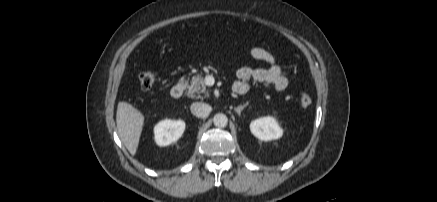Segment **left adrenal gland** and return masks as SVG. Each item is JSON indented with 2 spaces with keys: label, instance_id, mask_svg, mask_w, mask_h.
I'll use <instances>...</instances> for the list:
<instances>
[{
  "label": "left adrenal gland",
  "instance_id": "obj_1",
  "mask_svg": "<svg viewBox=\"0 0 437 202\" xmlns=\"http://www.w3.org/2000/svg\"><path fill=\"white\" fill-rule=\"evenodd\" d=\"M247 105H248V104L246 103V104H244V105H241V106L235 107V108H234V111H235V112L240 116L242 110H243Z\"/></svg>",
  "mask_w": 437,
  "mask_h": 202
}]
</instances>
